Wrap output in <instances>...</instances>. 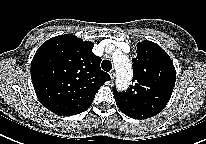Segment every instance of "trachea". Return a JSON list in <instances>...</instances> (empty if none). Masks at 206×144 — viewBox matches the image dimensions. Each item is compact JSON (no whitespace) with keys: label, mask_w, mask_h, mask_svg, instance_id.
<instances>
[{"label":"trachea","mask_w":206,"mask_h":144,"mask_svg":"<svg viewBox=\"0 0 206 144\" xmlns=\"http://www.w3.org/2000/svg\"><path fill=\"white\" fill-rule=\"evenodd\" d=\"M101 67L104 71L109 72L112 69V64L109 60H103Z\"/></svg>","instance_id":"obj_1"}]
</instances>
